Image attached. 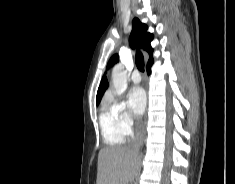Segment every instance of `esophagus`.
Listing matches in <instances>:
<instances>
[{"label": "esophagus", "instance_id": "obj_1", "mask_svg": "<svg viewBox=\"0 0 235 184\" xmlns=\"http://www.w3.org/2000/svg\"><path fill=\"white\" fill-rule=\"evenodd\" d=\"M144 124H146V114H145V117H144Z\"/></svg>", "mask_w": 235, "mask_h": 184}]
</instances>
